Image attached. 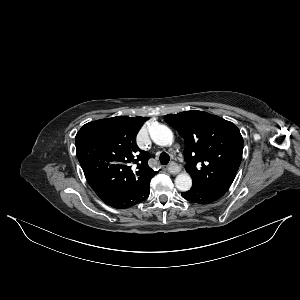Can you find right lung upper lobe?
Here are the masks:
<instances>
[{"label": "right lung upper lobe", "mask_w": 300, "mask_h": 300, "mask_svg": "<svg viewBox=\"0 0 300 300\" xmlns=\"http://www.w3.org/2000/svg\"><path fill=\"white\" fill-rule=\"evenodd\" d=\"M148 117L117 116L85 124L75 137L76 154L85 177L99 197L142 187L158 172L149 154L138 148L136 135ZM133 164L137 168H131Z\"/></svg>", "instance_id": "obj_1"}]
</instances>
